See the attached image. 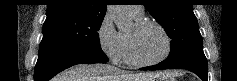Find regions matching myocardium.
<instances>
[{
	"label": "myocardium",
	"instance_id": "1",
	"mask_svg": "<svg viewBox=\"0 0 237 81\" xmlns=\"http://www.w3.org/2000/svg\"><path fill=\"white\" fill-rule=\"evenodd\" d=\"M150 25L157 27L160 30V32L162 33V35L164 36V38L166 40V50H165L164 54L156 60H143L138 56V54L135 50L132 37L129 34H127L126 39H127V46H128L129 55H130L132 62L135 65H138V66L157 65V64L165 61L171 53L172 40H171L169 34L167 33V31L165 30V28L160 23H158L155 20H150V19H141V20H138L134 23L135 28L138 30L143 29V28L150 26Z\"/></svg>",
	"mask_w": 237,
	"mask_h": 81
}]
</instances>
